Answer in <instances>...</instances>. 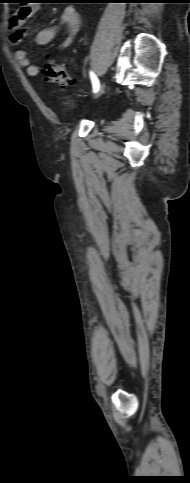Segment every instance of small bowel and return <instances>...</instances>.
<instances>
[{
	"label": "small bowel",
	"instance_id": "1",
	"mask_svg": "<svg viewBox=\"0 0 190 483\" xmlns=\"http://www.w3.org/2000/svg\"><path fill=\"white\" fill-rule=\"evenodd\" d=\"M37 11L35 5H22L18 7L9 19V41L15 48L14 59L23 68L29 76H37L39 68L37 65L32 64L28 58L25 50L20 46L23 38L27 32V20L32 18ZM81 25L80 16L76 9L68 5L63 10L59 23L56 26L45 28L40 30L36 35V43L39 45H46L50 43L57 35L60 28L65 29V35L58 44L59 50L68 48L74 41Z\"/></svg>",
	"mask_w": 190,
	"mask_h": 483
}]
</instances>
